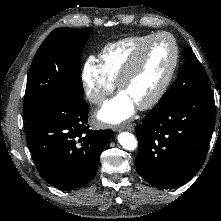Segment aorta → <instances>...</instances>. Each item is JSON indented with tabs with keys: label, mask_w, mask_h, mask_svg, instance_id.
I'll list each match as a JSON object with an SVG mask.
<instances>
[{
	"label": "aorta",
	"mask_w": 221,
	"mask_h": 221,
	"mask_svg": "<svg viewBox=\"0 0 221 221\" xmlns=\"http://www.w3.org/2000/svg\"><path fill=\"white\" fill-rule=\"evenodd\" d=\"M118 142L120 145L129 151H133L137 147L136 137L129 132H122L118 135Z\"/></svg>",
	"instance_id": "aorta-1"
}]
</instances>
